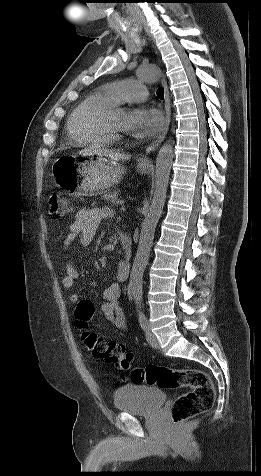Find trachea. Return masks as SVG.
Segmentation results:
<instances>
[{"instance_id": "3493384b", "label": "trachea", "mask_w": 261, "mask_h": 476, "mask_svg": "<svg viewBox=\"0 0 261 476\" xmlns=\"http://www.w3.org/2000/svg\"><path fill=\"white\" fill-rule=\"evenodd\" d=\"M157 96H158V98H160V99H163V98H164V89H163V88H159V89L157 90Z\"/></svg>"}]
</instances>
